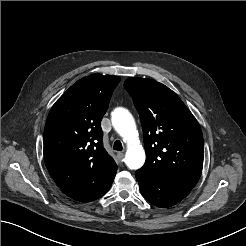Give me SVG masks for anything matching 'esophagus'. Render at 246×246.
<instances>
[{
    "label": "esophagus",
    "mask_w": 246,
    "mask_h": 246,
    "mask_svg": "<svg viewBox=\"0 0 246 246\" xmlns=\"http://www.w3.org/2000/svg\"><path fill=\"white\" fill-rule=\"evenodd\" d=\"M123 157H124V154L122 152H118L117 153V159H118V161L121 162L123 160Z\"/></svg>",
    "instance_id": "esophagus-1"
}]
</instances>
